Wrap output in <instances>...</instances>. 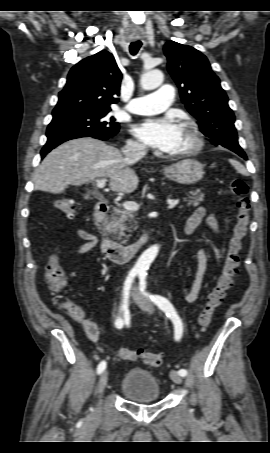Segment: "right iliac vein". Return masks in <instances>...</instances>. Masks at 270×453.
<instances>
[{
  "instance_id": "right-iliac-vein-1",
  "label": "right iliac vein",
  "mask_w": 270,
  "mask_h": 453,
  "mask_svg": "<svg viewBox=\"0 0 270 453\" xmlns=\"http://www.w3.org/2000/svg\"><path fill=\"white\" fill-rule=\"evenodd\" d=\"M109 372L105 370L102 372L100 379H99V394L102 396L108 381ZM97 411L100 412V407L97 408Z\"/></svg>"
}]
</instances>
